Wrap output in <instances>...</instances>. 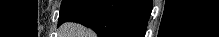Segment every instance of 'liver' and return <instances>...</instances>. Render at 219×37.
Returning a JSON list of instances; mask_svg holds the SVG:
<instances>
[{"label": "liver", "mask_w": 219, "mask_h": 37, "mask_svg": "<svg viewBox=\"0 0 219 37\" xmlns=\"http://www.w3.org/2000/svg\"><path fill=\"white\" fill-rule=\"evenodd\" d=\"M61 37H93L94 34L90 29L77 23H64L59 29Z\"/></svg>", "instance_id": "6515ba94"}]
</instances>
